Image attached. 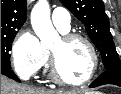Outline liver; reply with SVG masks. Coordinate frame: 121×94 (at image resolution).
I'll list each match as a JSON object with an SVG mask.
<instances>
[{"label": "liver", "instance_id": "1", "mask_svg": "<svg viewBox=\"0 0 121 94\" xmlns=\"http://www.w3.org/2000/svg\"><path fill=\"white\" fill-rule=\"evenodd\" d=\"M78 90H46L28 85L19 84L1 75V94H82Z\"/></svg>", "mask_w": 121, "mask_h": 94}]
</instances>
